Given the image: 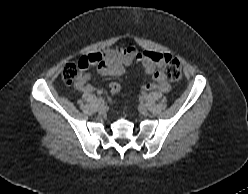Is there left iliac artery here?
Wrapping results in <instances>:
<instances>
[{
  "mask_svg": "<svg viewBox=\"0 0 248 194\" xmlns=\"http://www.w3.org/2000/svg\"><path fill=\"white\" fill-rule=\"evenodd\" d=\"M147 97V94L146 93H143L142 94V98H146Z\"/></svg>",
  "mask_w": 248,
  "mask_h": 194,
  "instance_id": "44dca946",
  "label": "left iliac artery"
}]
</instances>
